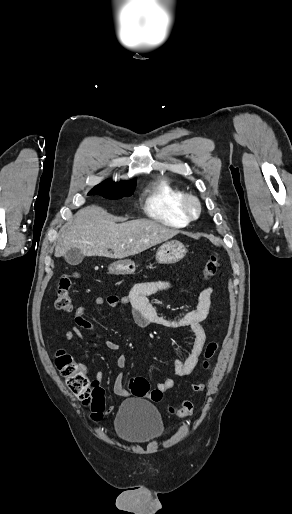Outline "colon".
Here are the masks:
<instances>
[{
    "label": "colon",
    "mask_w": 292,
    "mask_h": 514,
    "mask_svg": "<svg viewBox=\"0 0 292 514\" xmlns=\"http://www.w3.org/2000/svg\"><path fill=\"white\" fill-rule=\"evenodd\" d=\"M220 267L219 253L211 255L203 264L202 275L205 279L214 276ZM79 276L78 273L64 277L58 284V291L55 298L56 309L63 314L71 311L73 307L70 289L73 279ZM219 349L218 340H211L207 343L204 350L203 364L206 369L211 365ZM55 364L58 371L65 378L70 391L75 394L80 403L84 406L91 405L92 413L95 420H102L105 412V397L103 389L98 387L94 381L85 374L78 361L70 354L64 351H58L56 354ZM129 388L132 390L136 398H150L154 402H160L163 393L160 389H152L149 381L143 376L131 378L128 382ZM192 389L196 392L204 390L203 384H194ZM193 403L185 400L179 406H169V412L179 417H186L193 413Z\"/></svg>",
    "instance_id": "colon-1"
}]
</instances>
